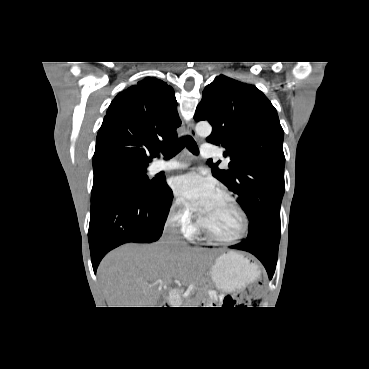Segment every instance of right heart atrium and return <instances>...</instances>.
<instances>
[{"label":"right heart atrium","mask_w":369,"mask_h":369,"mask_svg":"<svg viewBox=\"0 0 369 369\" xmlns=\"http://www.w3.org/2000/svg\"><path fill=\"white\" fill-rule=\"evenodd\" d=\"M170 217L183 229V231L190 233L194 230L192 213L178 198H175L171 203Z\"/></svg>","instance_id":"obj_1"}]
</instances>
